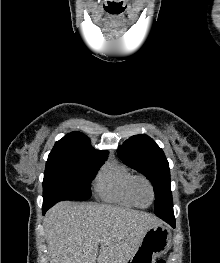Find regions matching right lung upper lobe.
I'll return each instance as SVG.
<instances>
[{
  "mask_svg": "<svg viewBox=\"0 0 220 263\" xmlns=\"http://www.w3.org/2000/svg\"><path fill=\"white\" fill-rule=\"evenodd\" d=\"M51 152H84L108 156L107 151H97L90 147V141L80 132H71L55 143Z\"/></svg>",
  "mask_w": 220,
  "mask_h": 263,
  "instance_id": "cb5924a9",
  "label": "right lung upper lobe"
}]
</instances>
